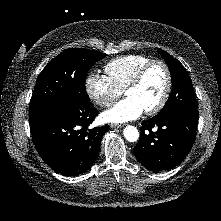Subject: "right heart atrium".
Returning a JSON list of instances; mask_svg holds the SVG:
<instances>
[{
	"instance_id": "1",
	"label": "right heart atrium",
	"mask_w": 221,
	"mask_h": 221,
	"mask_svg": "<svg viewBox=\"0 0 221 221\" xmlns=\"http://www.w3.org/2000/svg\"><path fill=\"white\" fill-rule=\"evenodd\" d=\"M85 90L88 97L100 107L111 106L123 92L106 75L97 72L88 74Z\"/></svg>"
}]
</instances>
